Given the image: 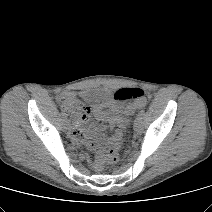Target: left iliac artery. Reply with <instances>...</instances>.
Returning a JSON list of instances; mask_svg holds the SVG:
<instances>
[{
	"mask_svg": "<svg viewBox=\"0 0 212 212\" xmlns=\"http://www.w3.org/2000/svg\"><path fill=\"white\" fill-rule=\"evenodd\" d=\"M138 115H139L141 118H143L144 115H145V110H144V109H141V111L139 112Z\"/></svg>",
	"mask_w": 212,
	"mask_h": 212,
	"instance_id": "1",
	"label": "left iliac artery"
}]
</instances>
